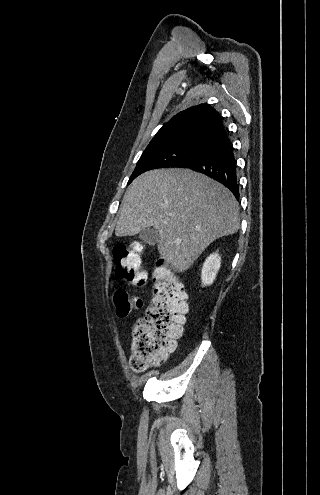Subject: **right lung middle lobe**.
Returning <instances> with one entry per match:
<instances>
[{"instance_id": "1", "label": "right lung middle lobe", "mask_w": 320, "mask_h": 495, "mask_svg": "<svg viewBox=\"0 0 320 495\" xmlns=\"http://www.w3.org/2000/svg\"><path fill=\"white\" fill-rule=\"evenodd\" d=\"M205 142L206 140L203 139H182L147 146L137 162L128 184L148 170L177 167L187 161Z\"/></svg>"}]
</instances>
